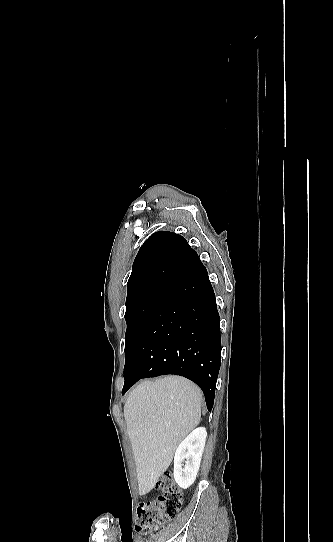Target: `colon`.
<instances>
[{
    "label": "colon",
    "mask_w": 333,
    "mask_h": 542,
    "mask_svg": "<svg viewBox=\"0 0 333 542\" xmlns=\"http://www.w3.org/2000/svg\"><path fill=\"white\" fill-rule=\"evenodd\" d=\"M161 493L153 500L144 501L138 508L137 528L140 532H152L173 519L182 505V493L173 474H163L157 480Z\"/></svg>",
    "instance_id": "colon-1"
}]
</instances>
